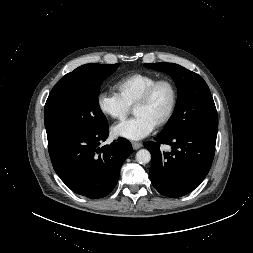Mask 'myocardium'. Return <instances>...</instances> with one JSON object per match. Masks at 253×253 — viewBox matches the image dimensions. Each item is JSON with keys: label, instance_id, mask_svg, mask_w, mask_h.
Listing matches in <instances>:
<instances>
[{"label": "myocardium", "instance_id": "f54148a6", "mask_svg": "<svg viewBox=\"0 0 253 253\" xmlns=\"http://www.w3.org/2000/svg\"><path fill=\"white\" fill-rule=\"evenodd\" d=\"M162 84H167L170 87L171 92H172V101L166 115L155 125L156 128H162L166 126L173 118L175 111L177 109L179 94H178V88L176 84L174 83V81L169 78L158 79L143 92V94L139 97V99L133 105V109H134L137 106L148 103L151 97L153 96L154 92L156 91V89Z\"/></svg>", "mask_w": 253, "mask_h": 253}]
</instances>
